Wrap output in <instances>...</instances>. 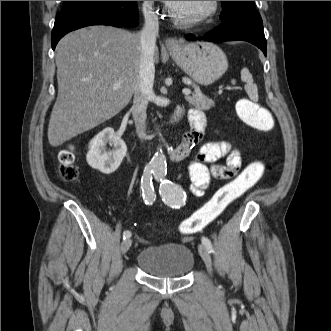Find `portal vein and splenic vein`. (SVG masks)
<instances>
[{
    "label": "portal vein and splenic vein",
    "mask_w": 331,
    "mask_h": 331,
    "mask_svg": "<svg viewBox=\"0 0 331 331\" xmlns=\"http://www.w3.org/2000/svg\"><path fill=\"white\" fill-rule=\"evenodd\" d=\"M119 87H120V84H118V83H116V84L113 85V89H115V90L118 89ZM182 92H183V94L186 95V96H188V95L191 94V90L188 89V88H184V89L182 90Z\"/></svg>",
    "instance_id": "obj_1"
}]
</instances>
